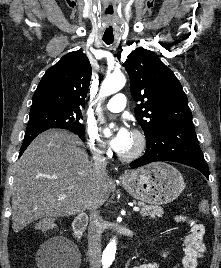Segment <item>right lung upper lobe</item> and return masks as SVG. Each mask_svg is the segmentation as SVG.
I'll list each match as a JSON object with an SVG mask.
<instances>
[{"label":"right lung upper lobe","instance_id":"cb5924a9","mask_svg":"<svg viewBox=\"0 0 221 268\" xmlns=\"http://www.w3.org/2000/svg\"><path fill=\"white\" fill-rule=\"evenodd\" d=\"M92 68L82 51L64 55L42 77L33 96L30 113L49 110L81 111Z\"/></svg>","mask_w":221,"mask_h":268}]
</instances>
